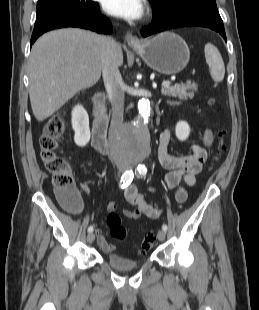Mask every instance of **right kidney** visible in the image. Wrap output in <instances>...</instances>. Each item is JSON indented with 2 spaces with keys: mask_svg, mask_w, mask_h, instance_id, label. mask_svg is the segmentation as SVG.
<instances>
[{
  "mask_svg": "<svg viewBox=\"0 0 259 310\" xmlns=\"http://www.w3.org/2000/svg\"><path fill=\"white\" fill-rule=\"evenodd\" d=\"M72 127L75 132L74 141L76 145L83 147L91 137L89 128V116L81 105H76L72 111Z\"/></svg>",
  "mask_w": 259,
  "mask_h": 310,
  "instance_id": "ca27d5eb",
  "label": "right kidney"
}]
</instances>
